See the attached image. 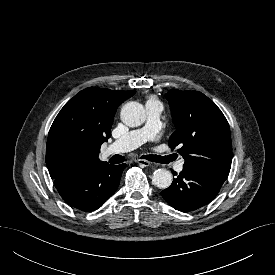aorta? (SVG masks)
I'll use <instances>...</instances> for the list:
<instances>
[{
    "label": "aorta",
    "mask_w": 275,
    "mask_h": 275,
    "mask_svg": "<svg viewBox=\"0 0 275 275\" xmlns=\"http://www.w3.org/2000/svg\"><path fill=\"white\" fill-rule=\"evenodd\" d=\"M121 120L129 127H138L142 125L146 119L144 106L138 102H128L121 109ZM152 183L160 188H168L172 183V174L166 169H157L153 173Z\"/></svg>",
    "instance_id": "aorta-1"
}]
</instances>
